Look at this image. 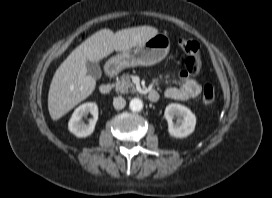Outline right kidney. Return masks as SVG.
<instances>
[{"label":"right kidney","mask_w":272,"mask_h":198,"mask_svg":"<svg viewBox=\"0 0 272 198\" xmlns=\"http://www.w3.org/2000/svg\"><path fill=\"white\" fill-rule=\"evenodd\" d=\"M90 113L93 118L90 119L89 124H85L82 121V117ZM98 119V106L96 103L88 102L80 105L73 112L69 123L68 129L76 137L85 138L94 132L95 124Z\"/></svg>","instance_id":"obj_1"}]
</instances>
